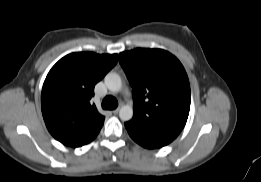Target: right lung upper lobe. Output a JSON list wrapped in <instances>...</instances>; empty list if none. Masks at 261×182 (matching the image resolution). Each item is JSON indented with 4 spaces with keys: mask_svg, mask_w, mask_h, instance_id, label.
Wrapping results in <instances>:
<instances>
[{
    "mask_svg": "<svg viewBox=\"0 0 261 182\" xmlns=\"http://www.w3.org/2000/svg\"><path fill=\"white\" fill-rule=\"evenodd\" d=\"M117 54L71 53L49 71L41 108L48 131L62 144L79 147L99 133L104 117L91 103L95 84L117 63Z\"/></svg>",
    "mask_w": 261,
    "mask_h": 182,
    "instance_id": "cb5924a9",
    "label": "right lung upper lobe"
}]
</instances>
